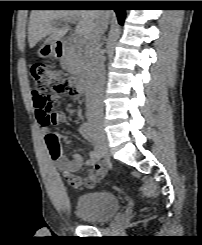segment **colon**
I'll return each instance as SVG.
<instances>
[{
	"label": "colon",
	"instance_id": "1",
	"mask_svg": "<svg viewBox=\"0 0 202 245\" xmlns=\"http://www.w3.org/2000/svg\"><path fill=\"white\" fill-rule=\"evenodd\" d=\"M30 77L33 81L32 98L38 119L46 125H53L56 122L53 104L56 95L66 94L70 97L76 96L73 85L64 79L60 70L48 68L44 63H34L30 67ZM50 154L58 156L60 144L53 140L49 146Z\"/></svg>",
	"mask_w": 202,
	"mask_h": 245
}]
</instances>
